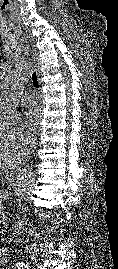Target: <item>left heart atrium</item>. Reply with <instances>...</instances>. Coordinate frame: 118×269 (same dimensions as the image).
<instances>
[{
	"mask_svg": "<svg viewBox=\"0 0 118 269\" xmlns=\"http://www.w3.org/2000/svg\"><path fill=\"white\" fill-rule=\"evenodd\" d=\"M42 121L41 110L38 106L30 107L25 114V122L31 131H37Z\"/></svg>",
	"mask_w": 118,
	"mask_h": 269,
	"instance_id": "obj_1",
	"label": "left heart atrium"
}]
</instances>
